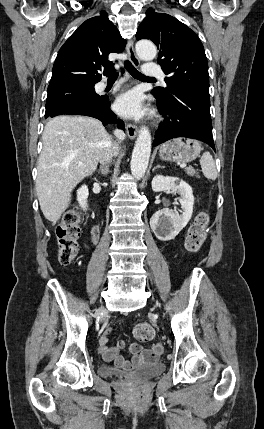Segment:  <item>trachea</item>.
<instances>
[{
  "mask_svg": "<svg viewBox=\"0 0 264 429\" xmlns=\"http://www.w3.org/2000/svg\"><path fill=\"white\" fill-rule=\"evenodd\" d=\"M126 69L129 71V73L136 79H140V80H153V78L147 77L145 75H143L142 73H140L133 65L130 61H125L124 63ZM110 78H117L118 77V72H113L110 74L109 76Z\"/></svg>",
  "mask_w": 264,
  "mask_h": 429,
  "instance_id": "trachea-1",
  "label": "trachea"
}]
</instances>
